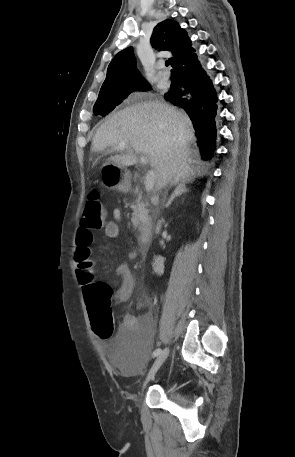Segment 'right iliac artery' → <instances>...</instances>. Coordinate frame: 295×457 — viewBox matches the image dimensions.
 I'll use <instances>...</instances> for the list:
<instances>
[{
	"mask_svg": "<svg viewBox=\"0 0 295 457\" xmlns=\"http://www.w3.org/2000/svg\"><path fill=\"white\" fill-rule=\"evenodd\" d=\"M161 352H162L161 349H156V350L153 352L152 357L158 356Z\"/></svg>",
	"mask_w": 295,
	"mask_h": 457,
	"instance_id": "obj_1",
	"label": "right iliac artery"
}]
</instances>
